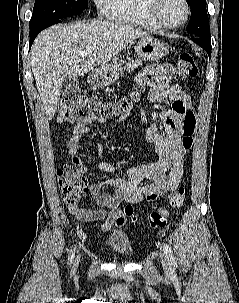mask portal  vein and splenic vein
Listing matches in <instances>:
<instances>
[{
	"instance_id": "1",
	"label": "portal vein and splenic vein",
	"mask_w": 239,
	"mask_h": 303,
	"mask_svg": "<svg viewBox=\"0 0 239 303\" xmlns=\"http://www.w3.org/2000/svg\"><path fill=\"white\" fill-rule=\"evenodd\" d=\"M91 52H92L91 50H88V51H86L85 55H88V54H90Z\"/></svg>"
}]
</instances>
